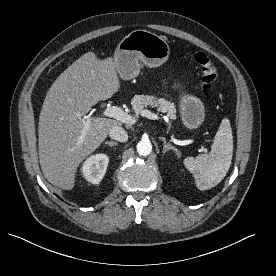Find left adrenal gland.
I'll list each match as a JSON object with an SVG mask.
<instances>
[{
	"label": "left adrenal gland",
	"mask_w": 276,
	"mask_h": 276,
	"mask_svg": "<svg viewBox=\"0 0 276 276\" xmlns=\"http://www.w3.org/2000/svg\"><path fill=\"white\" fill-rule=\"evenodd\" d=\"M160 140L163 141L164 145H163V153L168 152L169 150H173L176 155L179 154V150L175 147L172 146L171 144L167 143L166 139L164 137H159Z\"/></svg>",
	"instance_id": "left-adrenal-gland-1"
}]
</instances>
